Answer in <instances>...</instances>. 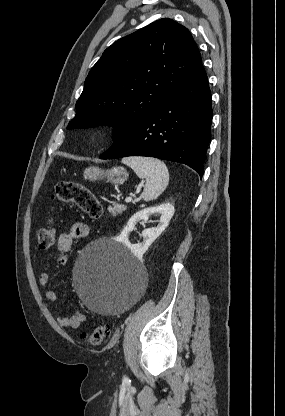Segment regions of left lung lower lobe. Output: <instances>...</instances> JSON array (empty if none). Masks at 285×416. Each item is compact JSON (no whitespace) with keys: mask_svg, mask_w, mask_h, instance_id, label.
Returning <instances> with one entry per match:
<instances>
[{"mask_svg":"<svg viewBox=\"0 0 285 416\" xmlns=\"http://www.w3.org/2000/svg\"><path fill=\"white\" fill-rule=\"evenodd\" d=\"M212 115L211 92L201 64L185 84L100 158L155 157L184 163L202 177Z\"/></svg>","mask_w":285,"mask_h":416,"instance_id":"left-lung-lower-lobe-1","label":"left lung lower lobe"}]
</instances>
